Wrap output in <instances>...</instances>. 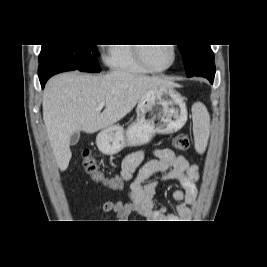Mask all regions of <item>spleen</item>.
Returning a JSON list of instances; mask_svg holds the SVG:
<instances>
[{"mask_svg":"<svg viewBox=\"0 0 267 267\" xmlns=\"http://www.w3.org/2000/svg\"><path fill=\"white\" fill-rule=\"evenodd\" d=\"M193 132L195 148L199 153H203L208 141L210 132V118L205 110L194 115Z\"/></svg>","mask_w":267,"mask_h":267,"instance_id":"spleen-1","label":"spleen"}]
</instances>
